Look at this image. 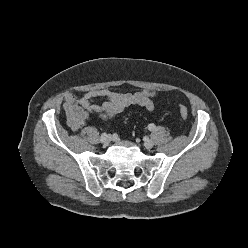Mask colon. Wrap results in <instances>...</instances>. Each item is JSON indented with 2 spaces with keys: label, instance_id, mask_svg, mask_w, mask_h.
<instances>
[{
  "label": "colon",
  "instance_id": "1",
  "mask_svg": "<svg viewBox=\"0 0 248 248\" xmlns=\"http://www.w3.org/2000/svg\"><path fill=\"white\" fill-rule=\"evenodd\" d=\"M179 112H180V115L183 119H187L188 109L184 105H182V104L179 105Z\"/></svg>",
  "mask_w": 248,
  "mask_h": 248
}]
</instances>
